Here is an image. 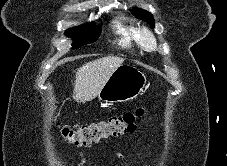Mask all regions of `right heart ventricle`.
Wrapping results in <instances>:
<instances>
[{
    "instance_id": "e07e8e85",
    "label": "right heart ventricle",
    "mask_w": 227,
    "mask_h": 166,
    "mask_svg": "<svg viewBox=\"0 0 227 166\" xmlns=\"http://www.w3.org/2000/svg\"><path fill=\"white\" fill-rule=\"evenodd\" d=\"M116 42L124 48L139 47L137 35L138 30L129 21L124 18L116 19L113 23Z\"/></svg>"
}]
</instances>
